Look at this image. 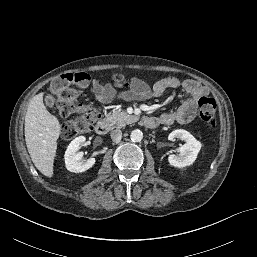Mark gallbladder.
<instances>
[{"instance_id": "gallbladder-1", "label": "gallbladder", "mask_w": 257, "mask_h": 257, "mask_svg": "<svg viewBox=\"0 0 257 257\" xmlns=\"http://www.w3.org/2000/svg\"><path fill=\"white\" fill-rule=\"evenodd\" d=\"M45 102L48 107L53 108L55 104V98L53 97V95L47 94L45 97Z\"/></svg>"}]
</instances>
